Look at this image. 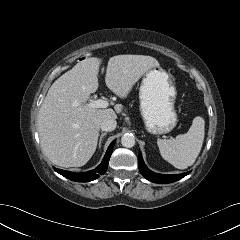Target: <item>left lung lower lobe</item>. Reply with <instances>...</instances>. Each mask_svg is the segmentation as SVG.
<instances>
[{
    "label": "left lung lower lobe",
    "instance_id": "1",
    "mask_svg": "<svg viewBox=\"0 0 240 240\" xmlns=\"http://www.w3.org/2000/svg\"><path fill=\"white\" fill-rule=\"evenodd\" d=\"M138 166H139L140 173L147 180H149L151 182H155V183H160V184L175 182V181L185 177L186 175H188L191 172V171H189V172L178 174V175H164V174L154 173L146 167L140 153L138 155Z\"/></svg>",
    "mask_w": 240,
    "mask_h": 240
}]
</instances>
